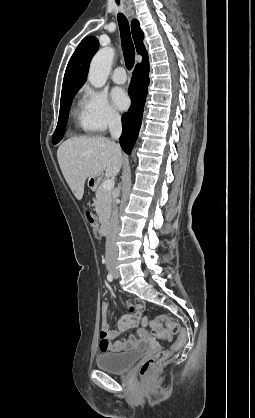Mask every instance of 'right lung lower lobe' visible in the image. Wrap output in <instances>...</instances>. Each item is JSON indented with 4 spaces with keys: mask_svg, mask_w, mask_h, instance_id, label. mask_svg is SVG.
<instances>
[{
    "mask_svg": "<svg viewBox=\"0 0 255 418\" xmlns=\"http://www.w3.org/2000/svg\"><path fill=\"white\" fill-rule=\"evenodd\" d=\"M148 85L149 63L136 65L129 86V95L132 100V106L129 111L122 116V135L119 140L122 149L127 154L131 153V149L141 127Z\"/></svg>",
    "mask_w": 255,
    "mask_h": 418,
    "instance_id": "98d812e1",
    "label": "right lung lower lobe"
}]
</instances>
